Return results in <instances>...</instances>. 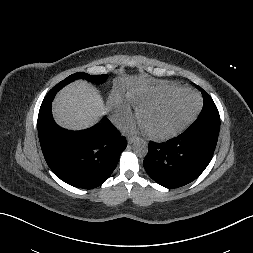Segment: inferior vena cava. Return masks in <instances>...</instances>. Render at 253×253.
Instances as JSON below:
<instances>
[{"label": "inferior vena cava", "mask_w": 253, "mask_h": 253, "mask_svg": "<svg viewBox=\"0 0 253 253\" xmlns=\"http://www.w3.org/2000/svg\"><path fill=\"white\" fill-rule=\"evenodd\" d=\"M113 121H114L115 123H117V120H116V119H113Z\"/></svg>", "instance_id": "obj_1"}]
</instances>
